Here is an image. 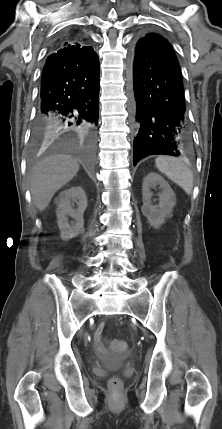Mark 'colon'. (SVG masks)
<instances>
[{
	"label": "colon",
	"instance_id": "colon-1",
	"mask_svg": "<svg viewBox=\"0 0 222 429\" xmlns=\"http://www.w3.org/2000/svg\"><path fill=\"white\" fill-rule=\"evenodd\" d=\"M107 344L111 350L116 352H124L127 350V343L123 340L112 339L108 340ZM109 384L112 389L117 390L121 386V380L118 377H112Z\"/></svg>",
	"mask_w": 222,
	"mask_h": 429
}]
</instances>
